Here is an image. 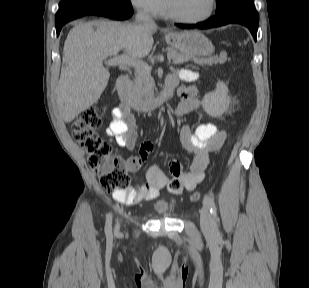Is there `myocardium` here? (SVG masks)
Segmentation results:
<instances>
[{
    "instance_id": "1",
    "label": "myocardium",
    "mask_w": 309,
    "mask_h": 288,
    "mask_svg": "<svg viewBox=\"0 0 309 288\" xmlns=\"http://www.w3.org/2000/svg\"><path fill=\"white\" fill-rule=\"evenodd\" d=\"M216 6H217V1L216 0H210V8H209L208 12L201 17L191 19V18H184L182 16L177 15L173 11V9L170 5V0H165V12H166L167 16L174 21H177V22L183 23V24H188V25H196V24H200V23H203V22L209 20L213 16V14L216 10Z\"/></svg>"
}]
</instances>
